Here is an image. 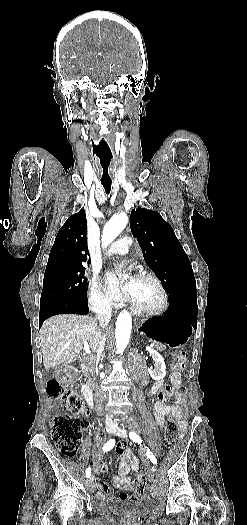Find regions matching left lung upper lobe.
Returning a JSON list of instances; mask_svg holds the SVG:
<instances>
[{
  "label": "left lung upper lobe",
  "mask_w": 247,
  "mask_h": 525,
  "mask_svg": "<svg viewBox=\"0 0 247 525\" xmlns=\"http://www.w3.org/2000/svg\"><path fill=\"white\" fill-rule=\"evenodd\" d=\"M130 228L169 300L197 296L190 260L170 224L158 212L139 207L131 211Z\"/></svg>",
  "instance_id": "1"
}]
</instances>
